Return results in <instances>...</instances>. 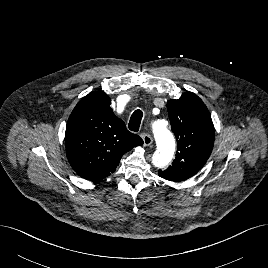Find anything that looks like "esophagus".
I'll return each instance as SVG.
<instances>
[{
	"label": "esophagus",
	"mask_w": 268,
	"mask_h": 268,
	"mask_svg": "<svg viewBox=\"0 0 268 268\" xmlns=\"http://www.w3.org/2000/svg\"><path fill=\"white\" fill-rule=\"evenodd\" d=\"M142 139H143V143H144L145 146H150L152 144L153 140H152V138H151V136L149 134L144 133L142 135Z\"/></svg>",
	"instance_id": "34e87169"
}]
</instances>
